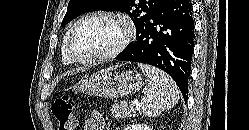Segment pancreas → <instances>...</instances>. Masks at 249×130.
Wrapping results in <instances>:
<instances>
[{"label": "pancreas", "instance_id": "obj_1", "mask_svg": "<svg viewBox=\"0 0 249 130\" xmlns=\"http://www.w3.org/2000/svg\"><path fill=\"white\" fill-rule=\"evenodd\" d=\"M110 114L115 119L134 117L135 111L133 108H129L127 102L121 101L112 106ZM140 114V113H139Z\"/></svg>", "mask_w": 249, "mask_h": 130}]
</instances>
